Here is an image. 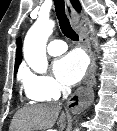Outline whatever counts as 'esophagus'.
<instances>
[{"instance_id":"34e87169","label":"esophagus","mask_w":117,"mask_h":131,"mask_svg":"<svg viewBox=\"0 0 117 131\" xmlns=\"http://www.w3.org/2000/svg\"><path fill=\"white\" fill-rule=\"evenodd\" d=\"M65 8L71 24L75 28H79L78 19L75 16V11L71 5L70 0H65ZM79 35L83 47L89 55L90 65L85 76V85L78 88L67 102V108L74 114L83 111L93 102L94 99V93L91 84L95 78V60L91 51L90 42L87 35L82 30H79Z\"/></svg>"}]
</instances>
